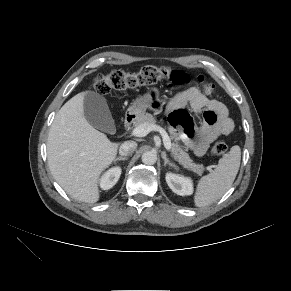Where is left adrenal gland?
I'll use <instances>...</instances> for the list:
<instances>
[{"label": "left adrenal gland", "mask_w": 291, "mask_h": 291, "mask_svg": "<svg viewBox=\"0 0 291 291\" xmlns=\"http://www.w3.org/2000/svg\"><path fill=\"white\" fill-rule=\"evenodd\" d=\"M161 156H162V159L164 160V166L169 165V166L174 167V168L177 167L175 163L171 162L167 158L166 152H162Z\"/></svg>", "instance_id": "a2214340"}]
</instances>
